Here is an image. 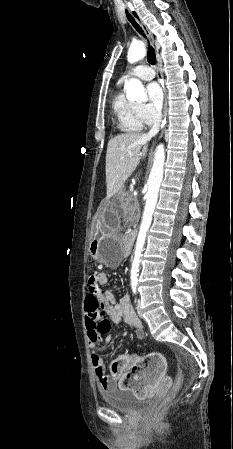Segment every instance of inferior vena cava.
Returning <instances> with one entry per match:
<instances>
[{
  "label": "inferior vena cava",
  "mask_w": 233,
  "mask_h": 449,
  "mask_svg": "<svg viewBox=\"0 0 233 449\" xmlns=\"http://www.w3.org/2000/svg\"><path fill=\"white\" fill-rule=\"evenodd\" d=\"M161 121H162V113L160 110H157L154 112V116H153V126L150 129L148 136L152 137L154 135H156L159 132L160 129V125H161Z\"/></svg>",
  "instance_id": "obj_1"
}]
</instances>
